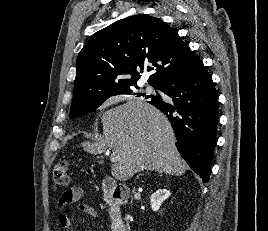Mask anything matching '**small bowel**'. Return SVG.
<instances>
[{
    "label": "small bowel",
    "mask_w": 268,
    "mask_h": 231,
    "mask_svg": "<svg viewBox=\"0 0 268 231\" xmlns=\"http://www.w3.org/2000/svg\"><path fill=\"white\" fill-rule=\"evenodd\" d=\"M58 206L64 210L73 209L80 211L91 217L98 216V211L92 205V201L85 197L84 190L78 186L68 188L59 198ZM57 222L63 230L72 228V219L66 212H61L57 215Z\"/></svg>",
    "instance_id": "small-bowel-1"
}]
</instances>
